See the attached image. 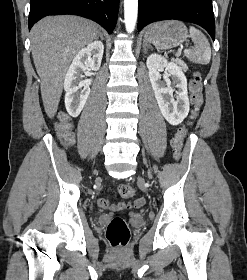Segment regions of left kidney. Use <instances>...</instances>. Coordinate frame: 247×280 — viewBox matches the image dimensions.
<instances>
[{
    "label": "left kidney",
    "mask_w": 247,
    "mask_h": 280,
    "mask_svg": "<svg viewBox=\"0 0 247 280\" xmlns=\"http://www.w3.org/2000/svg\"><path fill=\"white\" fill-rule=\"evenodd\" d=\"M149 78L158 106L163 117L173 126L179 125L189 113L187 79L181 68L174 62H168L158 54H151L146 61ZM166 70L167 77L161 81L160 71ZM177 88V90L174 89ZM175 91L176 95L173 96Z\"/></svg>",
    "instance_id": "obj_1"
}]
</instances>
